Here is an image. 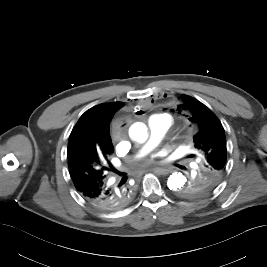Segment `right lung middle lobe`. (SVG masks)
I'll return each instance as SVG.
<instances>
[{
  "label": "right lung middle lobe",
  "mask_w": 267,
  "mask_h": 267,
  "mask_svg": "<svg viewBox=\"0 0 267 267\" xmlns=\"http://www.w3.org/2000/svg\"><path fill=\"white\" fill-rule=\"evenodd\" d=\"M111 154H86L82 159L72 158L68 161L70 176L75 186H82L106 178L111 165Z\"/></svg>",
  "instance_id": "dd1d6c3e"
}]
</instances>
